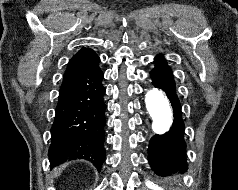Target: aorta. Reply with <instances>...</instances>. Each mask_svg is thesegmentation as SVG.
Wrapping results in <instances>:
<instances>
[{"mask_svg": "<svg viewBox=\"0 0 238 190\" xmlns=\"http://www.w3.org/2000/svg\"><path fill=\"white\" fill-rule=\"evenodd\" d=\"M146 108L153 120L152 129L157 134L165 133L172 124V109L164 92L150 88L145 95Z\"/></svg>", "mask_w": 238, "mask_h": 190, "instance_id": "762f6f07", "label": "aorta"}]
</instances>
